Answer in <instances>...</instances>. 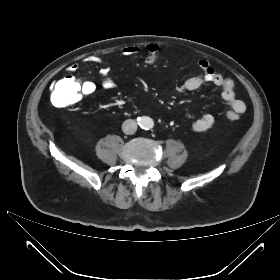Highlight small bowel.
<instances>
[{
	"label": "small bowel",
	"instance_id": "obj_1",
	"mask_svg": "<svg viewBox=\"0 0 280 280\" xmlns=\"http://www.w3.org/2000/svg\"><path fill=\"white\" fill-rule=\"evenodd\" d=\"M146 58L145 62L147 64H153L157 60L158 56V46L155 44H149L146 46ZM141 49L135 45H128L121 50V54L127 57L136 56L140 53ZM89 63H101L102 58L97 55H93L87 58ZM199 67L201 69V74L191 77L176 86L178 93H184L188 91H195L205 84H213L222 89L221 97L230 110L227 112V117L233 114L239 117L246 109V104L244 101L237 99L234 93V82L231 78L225 77L222 74L216 72L210 63L206 60L199 61ZM79 69L78 64L73 63L69 65L68 70L72 73L77 72ZM98 80L102 87L113 88L115 86V81L110 75L109 68L107 66H102L98 71ZM96 83L91 80H85L81 83V97L83 95L89 96L93 94L96 90ZM231 120V119H230ZM214 124V117L211 114H204L199 119H197L193 125L192 129L195 132H204L210 129Z\"/></svg>",
	"mask_w": 280,
	"mask_h": 280
}]
</instances>
